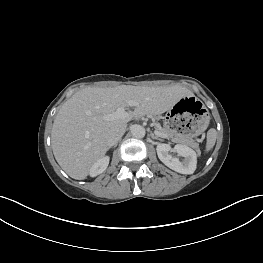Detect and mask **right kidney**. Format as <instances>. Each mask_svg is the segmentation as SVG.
I'll list each match as a JSON object with an SVG mask.
<instances>
[{"label":"right kidney","mask_w":263,"mask_h":263,"mask_svg":"<svg viewBox=\"0 0 263 263\" xmlns=\"http://www.w3.org/2000/svg\"><path fill=\"white\" fill-rule=\"evenodd\" d=\"M109 164V157L108 156H104L100 159H98L90 168L89 170V175L91 177H95L101 173H103Z\"/></svg>","instance_id":"obj_1"}]
</instances>
